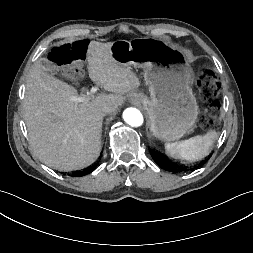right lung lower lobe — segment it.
Instances as JSON below:
<instances>
[{
    "instance_id": "98d812e1",
    "label": "right lung lower lobe",
    "mask_w": 253,
    "mask_h": 253,
    "mask_svg": "<svg viewBox=\"0 0 253 253\" xmlns=\"http://www.w3.org/2000/svg\"><path fill=\"white\" fill-rule=\"evenodd\" d=\"M96 168V165L91 167L90 169L86 170V171H82V172H75L72 176H76V177H80V176H84L86 174L91 173L94 169Z\"/></svg>"
}]
</instances>
